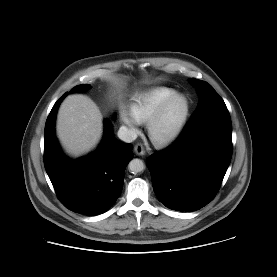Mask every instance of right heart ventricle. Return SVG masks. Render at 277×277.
I'll return each instance as SVG.
<instances>
[{"instance_id": "right-heart-ventricle-1", "label": "right heart ventricle", "mask_w": 277, "mask_h": 277, "mask_svg": "<svg viewBox=\"0 0 277 277\" xmlns=\"http://www.w3.org/2000/svg\"><path fill=\"white\" fill-rule=\"evenodd\" d=\"M176 90L169 87H154L137 95L130 106L132 117L138 123H146L158 107Z\"/></svg>"}]
</instances>
